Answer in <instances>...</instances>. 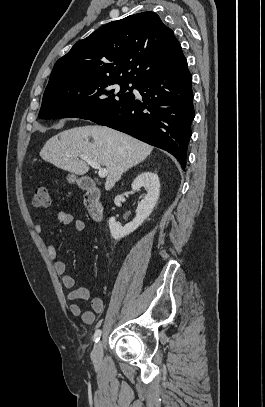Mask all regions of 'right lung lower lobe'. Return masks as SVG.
I'll use <instances>...</instances> for the list:
<instances>
[{"label":"right lung lower lobe","mask_w":265,"mask_h":407,"mask_svg":"<svg viewBox=\"0 0 265 407\" xmlns=\"http://www.w3.org/2000/svg\"><path fill=\"white\" fill-rule=\"evenodd\" d=\"M142 100L134 99L91 121L125 132L171 153L186 167L193 109L192 75L180 56L167 69L137 84Z\"/></svg>","instance_id":"obj_1"}]
</instances>
